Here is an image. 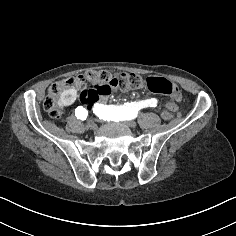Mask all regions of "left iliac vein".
<instances>
[{"label": "left iliac vein", "instance_id": "4c4485c4", "mask_svg": "<svg viewBox=\"0 0 236 236\" xmlns=\"http://www.w3.org/2000/svg\"><path fill=\"white\" fill-rule=\"evenodd\" d=\"M124 123L128 126L130 125L131 128H136L137 127V122L136 121H130L129 122V121L126 120Z\"/></svg>", "mask_w": 236, "mask_h": 236}]
</instances>
